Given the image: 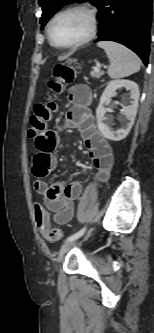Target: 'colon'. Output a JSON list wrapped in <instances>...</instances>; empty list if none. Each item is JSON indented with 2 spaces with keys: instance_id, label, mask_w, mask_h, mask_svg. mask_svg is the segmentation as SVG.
Here are the masks:
<instances>
[{
  "instance_id": "5ec220e1",
  "label": "colon",
  "mask_w": 154,
  "mask_h": 333,
  "mask_svg": "<svg viewBox=\"0 0 154 333\" xmlns=\"http://www.w3.org/2000/svg\"><path fill=\"white\" fill-rule=\"evenodd\" d=\"M75 70L71 65H57L54 69L53 79L49 81L50 91L57 95L60 94L64 86L73 81ZM57 109L55 97H50L46 102L34 106L33 113L29 121V137L35 138L50 120L52 114ZM34 219L42 235L48 240H59L62 236L58 228L51 226L48 211L41 204L34 206Z\"/></svg>"
}]
</instances>
